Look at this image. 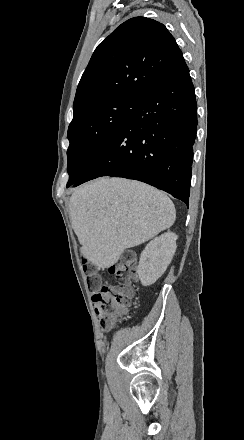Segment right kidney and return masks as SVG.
Instances as JSON below:
<instances>
[{
    "label": "right kidney",
    "mask_w": 244,
    "mask_h": 440,
    "mask_svg": "<svg viewBox=\"0 0 244 440\" xmlns=\"http://www.w3.org/2000/svg\"><path fill=\"white\" fill-rule=\"evenodd\" d=\"M177 238L176 234L166 232L147 244L140 256L137 270L142 286L155 284L164 274L176 252Z\"/></svg>",
    "instance_id": "ca27d5eb"
}]
</instances>
